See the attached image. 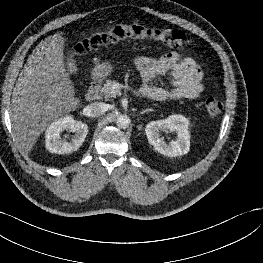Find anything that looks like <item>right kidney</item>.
<instances>
[{"mask_svg": "<svg viewBox=\"0 0 263 263\" xmlns=\"http://www.w3.org/2000/svg\"><path fill=\"white\" fill-rule=\"evenodd\" d=\"M63 131L75 133L71 141L61 138ZM87 133V124L76 121L71 116L61 117L51 123L46 130V149L57 154L72 153L83 144Z\"/></svg>", "mask_w": 263, "mask_h": 263, "instance_id": "obj_1", "label": "right kidney"}]
</instances>
